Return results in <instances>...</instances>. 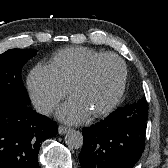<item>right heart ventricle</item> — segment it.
I'll return each instance as SVG.
<instances>
[{"instance_id":"e07e8e85","label":"right heart ventricle","mask_w":168,"mask_h":168,"mask_svg":"<svg viewBox=\"0 0 168 168\" xmlns=\"http://www.w3.org/2000/svg\"><path fill=\"white\" fill-rule=\"evenodd\" d=\"M102 54L104 53L86 47L67 48L54 56L52 65L62 81L70 88L89 62Z\"/></svg>"}]
</instances>
